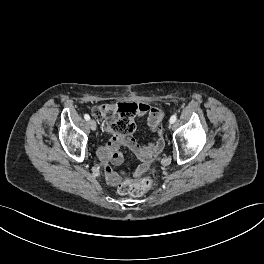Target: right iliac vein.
Wrapping results in <instances>:
<instances>
[{"mask_svg":"<svg viewBox=\"0 0 264 264\" xmlns=\"http://www.w3.org/2000/svg\"><path fill=\"white\" fill-rule=\"evenodd\" d=\"M88 124H89V126H90V128H91V130H93V131H95L96 130V128H97V125H96V122L94 121V120H89V122H88Z\"/></svg>","mask_w":264,"mask_h":264,"instance_id":"right-iliac-vein-1","label":"right iliac vein"}]
</instances>
